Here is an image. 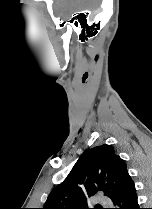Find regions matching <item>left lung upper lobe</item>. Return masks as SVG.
Instances as JSON below:
<instances>
[{
	"instance_id": "left-lung-upper-lobe-1",
	"label": "left lung upper lobe",
	"mask_w": 152,
	"mask_h": 209,
	"mask_svg": "<svg viewBox=\"0 0 152 209\" xmlns=\"http://www.w3.org/2000/svg\"><path fill=\"white\" fill-rule=\"evenodd\" d=\"M126 163L111 145L86 150L66 179L49 194L42 209H89V197L102 191L112 199L129 178Z\"/></svg>"
}]
</instances>
